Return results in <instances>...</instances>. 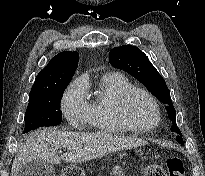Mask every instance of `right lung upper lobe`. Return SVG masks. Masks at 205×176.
<instances>
[{
  "label": "right lung upper lobe",
  "mask_w": 205,
  "mask_h": 176,
  "mask_svg": "<svg viewBox=\"0 0 205 176\" xmlns=\"http://www.w3.org/2000/svg\"><path fill=\"white\" fill-rule=\"evenodd\" d=\"M78 62L77 52L64 51L54 56L38 73L29 96L45 94L60 86L68 85L77 69Z\"/></svg>",
  "instance_id": "cb5924a9"
}]
</instances>
